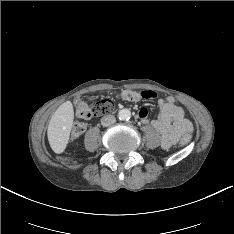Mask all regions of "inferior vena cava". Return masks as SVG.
<instances>
[{
    "mask_svg": "<svg viewBox=\"0 0 234 234\" xmlns=\"http://www.w3.org/2000/svg\"><path fill=\"white\" fill-rule=\"evenodd\" d=\"M116 122V118L114 115L108 114L101 118V124L103 126H110Z\"/></svg>",
    "mask_w": 234,
    "mask_h": 234,
    "instance_id": "602c4592",
    "label": "inferior vena cava"
}]
</instances>
